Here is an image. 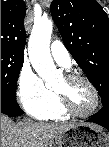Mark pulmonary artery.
Here are the masks:
<instances>
[{
  "instance_id": "1",
  "label": "pulmonary artery",
  "mask_w": 109,
  "mask_h": 147,
  "mask_svg": "<svg viewBox=\"0 0 109 147\" xmlns=\"http://www.w3.org/2000/svg\"><path fill=\"white\" fill-rule=\"evenodd\" d=\"M51 55L53 60L61 67L68 69L71 67V56L65 46L55 40L51 45Z\"/></svg>"
}]
</instances>
